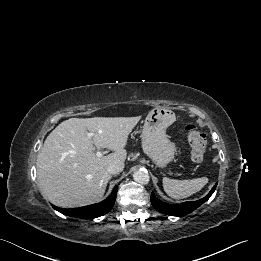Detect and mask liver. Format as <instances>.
Segmentation results:
<instances>
[{"label": "liver", "instance_id": "liver-1", "mask_svg": "<svg viewBox=\"0 0 261 261\" xmlns=\"http://www.w3.org/2000/svg\"><path fill=\"white\" fill-rule=\"evenodd\" d=\"M138 117L70 118L46 138L37 157V179L41 194L59 207H81L104 196L112 164L124 167L128 136ZM92 133V139L87 135ZM113 153L98 157L94 148Z\"/></svg>", "mask_w": 261, "mask_h": 261}]
</instances>
